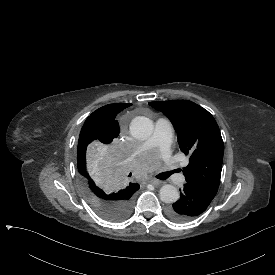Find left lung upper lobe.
Here are the masks:
<instances>
[{
	"label": "left lung upper lobe",
	"instance_id": "left-lung-upper-lobe-1",
	"mask_svg": "<svg viewBox=\"0 0 275 275\" xmlns=\"http://www.w3.org/2000/svg\"><path fill=\"white\" fill-rule=\"evenodd\" d=\"M149 105L170 119L181 151L189 155V164L183 168L186 182L215 196L220 183L224 145L213 116L188 100L150 102Z\"/></svg>",
	"mask_w": 275,
	"mask_h": 275
}]
</instances>
